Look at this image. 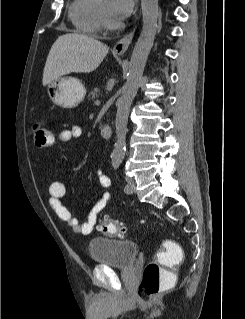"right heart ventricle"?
Segmentation results:
<instances>
[{"mask_svg":"<svg viewBox=\"0 0 245 319\" xmlns=\"http://www.w3.org/2000/svg\"><path fill=\"white\" fill-rule=\"evenodd\" d=\"M100 5L101 0H72L69 17L80 32L96 35L102 30Z\"/></svg>","mask_w":245,"mask_h":319,"instance_id":"1","label":"right heart ventricle"}]
</instances>
